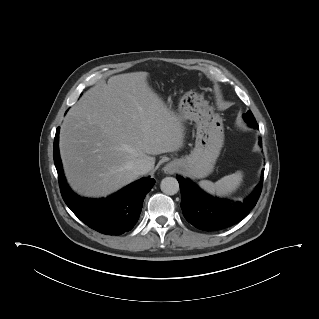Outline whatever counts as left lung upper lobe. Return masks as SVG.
<instances>
[{
    "instance_id": "obj_1",
    "label": "left lung upper lobe",
    "mask_w": 319,
    "mask_h": 319,
    "mask_svg": "<svg viewBox=\"0 0 319 319\" xmlns=\"http://www.w3.org/2000/svg\"><path fill=\"white\" fill-rule=\"evenodd\" d=\"M243 118L248 124H257L251 111H248L246 114H243Z\"/></svg>"
}]
</instances>
